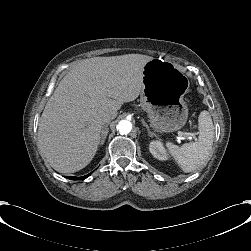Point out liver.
Segmentation results:
<instances>
[{
	"label": "liver",
	"mask_w": 251,
	"mask_h": 251,
	"mask_svg": "<svg viewBox=\"0 0 251 251\" xmlns=\"http://www.w3.org/2000/svg\"><path fill=\"white\" fill-rule=\"evenodd\" d=\"M153 57L126 54L75 64L47 101L38 128V147L53 169L74 173L93 159L102 119L141 93L143 69Z\"/></svg>",
	"instance_id": "6515ba94"
}]
</instances>
